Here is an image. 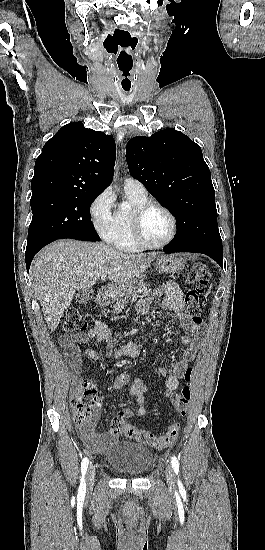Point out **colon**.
Instances as JSON below:
<instances>
[{
    "instance_id": "obj_1",
    "label": "colon",
    "mask_w": 265,
    "mask_h": 550,
    "mask_svg": "<svg viewBox=\"0 0 265 550\" xmlns=\"http://www.w3.org/2000/svg\"><path fill=\"white\" fill-rule=\"evenodd\" d=\"M208 280L209 272L207 265L204 263L195 264L187 275V281L191 284V288L185 296L186 310L191 321L197 325H201L203 321L201 300ZM62 327L65 333L82 332L87 328V320L79 309L69 308L65 313ZM191 376L192 369L188 368L184 375L186 385L178 393L169 395L172 406L180 416H185L189 409ZM101 401L102 397L96 386L89 380L83 381L79 392L71 400L75 424L84 427L92 423L101 406ZM110 429L114 435L125 436L157 449L171 446L178 439L181 432L179 423L174 422L168 426L165 434L156 436L150 431L137 428L120 416H116L111 420Z\"/></svg>"
}]
</instances>
